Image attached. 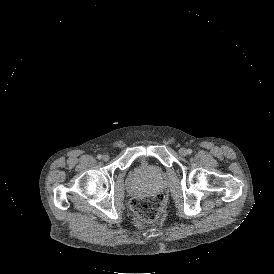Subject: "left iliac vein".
<instances>
[{
    "label": "left iliac vein",
    "mask_w": 274,
    "mask_h": 274,
    "mask_svg": "<svg viewBox=\"0 0 274 274\" xmlns=\"http://www.w3.org/2000/svg\"><path fill=\"white\" fill-rule=\"evenodd\" d=\"M179 153H180V155H182V156H186V155H187V150H186L185 148H180V149H179Z\"/></svg>",
    "instance_id": "left-iliac-vein-1"
}]
</instances>
